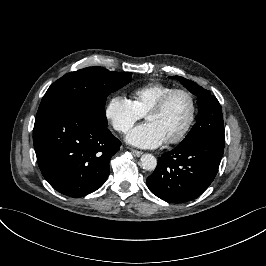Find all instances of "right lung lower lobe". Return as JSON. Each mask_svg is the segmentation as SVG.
<instances>
[{"instance_id":"1","label":"right lung lower lobe","mask_w":266,"mask_h":266,"mask_svg":"<svg viewBox=\"0 0 266 266\" xmlns=\"http://www.w3.org/2000/svg\"><path fill=\"white\" fill-rule=\"evenodd\" d=\"M33 142L44 178L58 192L75 198L104 184L109 161L121 145L106 126L72 107L36 116Z\"/></svg>"}]
</instances>
